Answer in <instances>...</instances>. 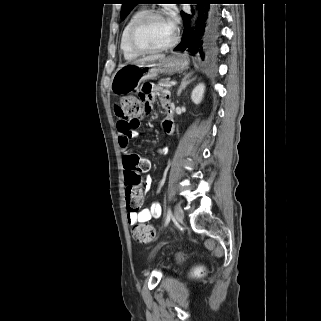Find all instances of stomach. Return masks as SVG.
<instances>
[{
	"label": "stomach",
	"mask_w": 321,
	"mask_h": 321,
	"mask_svg": "<svg viewBox=\"0 0 321 321\" xmlns=\"http://www.w3.org/2000/svg\"><path fill=\"white\" fill-rule=\"evenodd\" d=\"M187 67V59L178 54L169 55L158 61L122 65L114 73L110 89L116 95H123L137 89L142 80L155 79L160 73L172 75Z\"/></svg>",
	"instance_id": "0dacf381"
}]
</instances>
